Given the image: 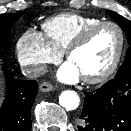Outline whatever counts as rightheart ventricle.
I'll use <instances>...</instances> for the list:
<instances>
[{
	"label": "right heart ventricle",
	"instance_id": "right-heart-ventricle-1",
	"mask_svg": "<svg viewBox=\"0 0 131 131\" xmlns=\"http://www.w3.org/2000/svg\"><path fill=\"white\" fill-rule=\"evenodd\" d=\"M100 21L92 16L63 13L47 19L42 24V29L49 43L63 53L80 32Z\"/></svg>",
	"mask_w": 131,
	"mask_h": 131
}]
</instances>
